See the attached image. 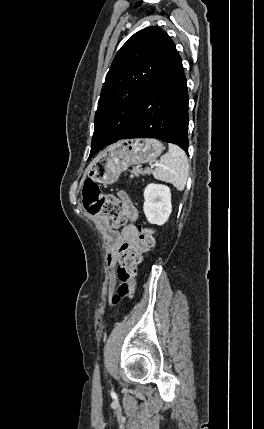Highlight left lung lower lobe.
Listing matches in <instances>:
<instances>
[{
  "mask_svg": "<svg viewBox=\"0 0 264 429\" xmlns=\"http://www.w3.org/2000/svg\"><path fill=\"white\" fill-rule=\"evenodd\" d=\"M188 122L187 81L172 42L158 76L140 102L135 122L123 139L156 138L188 152Z\"/></svg>",
  "mask_w": 264,
  "mask_h": 429,
  "instance_id": "1",
  "label": "left lung lower lobe"
}]
</instances>
